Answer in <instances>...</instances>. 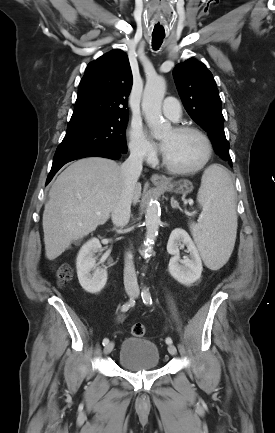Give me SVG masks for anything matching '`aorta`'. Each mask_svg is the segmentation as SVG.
Wrapping results in <instances>:
<instances>
[{
	"instance_id": "1",
	"label": "aorta",
	"mask_w": 275,
	"mask_h": 433,
	"mask_svg": "<svg viewBox=\"0 0 275 433\" xmlns=\"http://www.w3.org/2000/svg\"><path fill=\"white\" fill-rule=\"evenodd\" d=\"M166 84L161 76L148 78L142 98V112L155 138H161L170 129L171 125L162 116L161 106L165 95ZM161 210L155 201H150L145 210V254L151 253L154 241L158 235Z\"/></svg>"
}]
</instances>
